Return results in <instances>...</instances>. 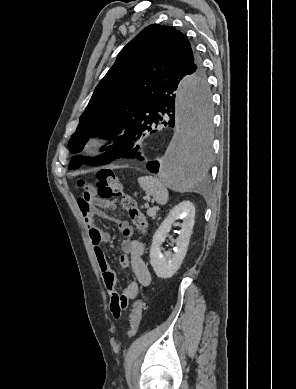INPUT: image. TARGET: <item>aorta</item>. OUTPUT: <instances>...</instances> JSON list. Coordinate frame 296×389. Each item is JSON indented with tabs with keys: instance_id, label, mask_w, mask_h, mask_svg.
Segmentation results:
<instances>
[{
	"instance_id": "aorta-1",
	"label": "aorta",
	"mask_w": 296,
	"mask_h": 389,
	"mask_svg": "<svg viewBox=\"0 0 296 389\" xmlns=\"http://www.w3.org/2000/svg\"><path fill=\"white\" fill-rule=\"evenodd\" d=\"M199 80L193 73L176 84V130L160 167L176 189H197L213 159L212 92Z\"/></svg>"
}]
</instances>
